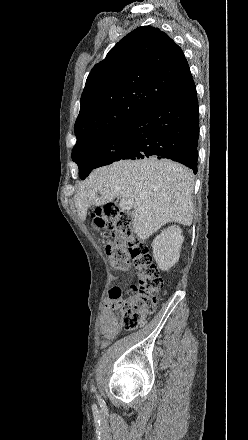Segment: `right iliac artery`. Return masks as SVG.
I'll return each instance as SVG.
<instances>
[{
  "mask_svg": "<svg viewBox=\"0 0 248 440\" xmlns=\"http://www.w3.org/2000/svg\"><path fill=\"white\" fill-rule=\"evenodd\" d=\"M92 390L96 392V389H95V387H93V388H92Z\"/></svg>",
  "mask_w": 248,
  "mask_h": 440,
  "instance_id": "1",
  "label": "right iliac artery"
}]
</instances>
